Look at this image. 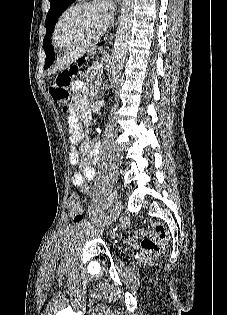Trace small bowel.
<instances>
[{
    "instance_id": "1",
    "label": "small bowel",
    "mask_w": 227,
    "mask_h": 315,
    "mask_svg": "<svg viewBox=\"0 0 227 315\" xmlns=\"http://www.w3.org/2000/svg\"><path fill=\"white\" fill-rule=\"evenodd\" d=\"M92 91V86L81 80H77L73 83V92L75 98H81L82 101H87L88 96ZM71 134L69 138L70 152L69 159L72 165L79 166L81 171L75 172L71 176V184L81 189L84 195L91 194V188L88 185L89 181H93L96 176V170L94 164L98 160V151L91 149L90 144L85 142L78 150V143L82 137V131L75 115H72L69 119ZM81 154H85L86 157H81Z\"/></svg>"
}]
</instances>
